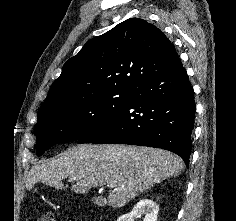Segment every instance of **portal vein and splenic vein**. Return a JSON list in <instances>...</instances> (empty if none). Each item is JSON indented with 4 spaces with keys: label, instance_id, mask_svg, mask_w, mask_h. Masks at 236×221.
Masks as SVG:
<instances>
[{
    "label": "portal vein and splenic vein",
    "instance_id": "obj_1",
    "mask_svg": "<svg viewBox=\"0 0 236 221\" xmlns=\"http://www.w3.org/2000/svg\"><path fill=\"white\" fill-rule=\"evenodd\" d=\"M107 187L114 188L113 184L107 185Z\"/></svg>",
    "mask_w": 236,
    "mask_h": 221
}]
</instances>
